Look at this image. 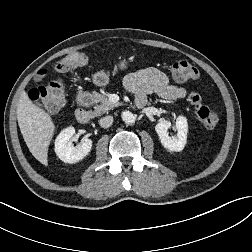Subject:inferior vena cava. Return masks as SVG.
I'll return each instance as SVG.
<instances>
[{
  "instance_id": "obj_1",
  "label": "inferior vena cava",
  "mask_w": 252,
  "mask_h": 252,
  "mask_svg": "<svg viewBox=\"0 0 252 252\" xmlns=\"http://www.w3.org/2000/svg\"><path fill=\"white\" fill-rule=\"evenodd\" d=\"M113 123V117L112 116H105L99 120V124L102 128H108Z\"/></svg>"
}]
</instances>
